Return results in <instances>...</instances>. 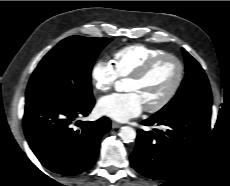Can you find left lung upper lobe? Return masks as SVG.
Wrapping results in <instances>:
<instances>
[{"label": "left lung upper lobe", "instance_id": "left-lung-upper-lobe-1", "mask_svg": "<svg viewBox=\"0 0 230 186\" xmlns=\"http://www.w3.org/2000/svg\"><path fill=\"white\" fill-rule=\"evenodd\" d=\"M182 51L186 62V76L176 95L156 114L212 103L211 90L204 70L186 50L182 49Z\"/></svg>", "mask_w": 230, "mask_h": 186}]
</instances>
